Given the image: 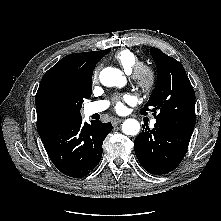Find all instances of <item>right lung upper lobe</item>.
Masks as SVG:
<instances>
[{"mask_svg": "<svg viewBox=\"0 0 221 221\" xmlns=\"http://www.w3.org/2000/svg\"><path fill=\"white\" fill-rule=\"evenodd\" d=\"M109 52L73 53L45 73L35 97L40 137L81 119L77 100L91 96L93 70Z\"/></svg>", "mask_w": 221, "mask_h": 221, "instance_id": "1", "label": "right lung upper lobe"}]
</instances>
